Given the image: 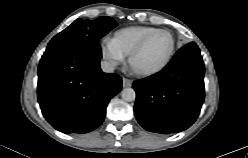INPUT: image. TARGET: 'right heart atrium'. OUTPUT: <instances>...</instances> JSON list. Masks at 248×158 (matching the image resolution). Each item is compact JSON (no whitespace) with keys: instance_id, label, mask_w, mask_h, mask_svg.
I'll return each mask as SVG.
<instances>
[{"instance_id":"obj_1","label":"right heart atrium","mask_w":248,"mask_h":158,"mask_svg":"<svg viewBox=\"0 0 248 158\" xmlns=\"http://www.w3.org/2000/svg\"><path fill=\"white\" fill-rule=\"evenodd\" d=\"M100 52L102 58L110 68L119 66L124 62L125 56L116 47L111 39L105 38L100 43Z\"/></svg>"}]
</instances>
